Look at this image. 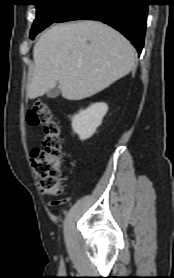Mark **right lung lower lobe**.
Returning <instances> with one entry per match:
<instances>
[{"mask_svg":"<svg viewBox=\"0 0 174 278\" xmlns=\"http://www.w3.org/2000/svg\"><path fill=\"white\" fill-rule=\"evenodd\" d=\"M146 0H75L56 19L66 22L79 19L102 21L128 38L140 54L147 20Z\"/></svg>","mask_w":174,"mask_h":278,"instance_id":"98d812e1","label":"right lung lower lobe"}]
</instances>
